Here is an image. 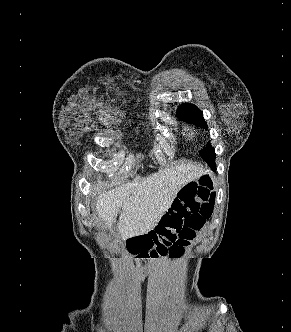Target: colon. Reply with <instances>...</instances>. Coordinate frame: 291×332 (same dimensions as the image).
Instances as JSON below:
<instances>
[{
  "label": "colon",
  "instance_id": "5ec220e1",
  "mask_svg": "<svg viewBox=\"0 0 291 332\" xmlns=\"http://www.w3.org/2000/svg\"><path fill=\"white\" fill-rule=\"evenodd\" d=\"M214 203L215 196L204 188L180 191L172 208L153 230L127 241L131 251L141 258L183 255L211 218Z\"/></svg>",
  "mask_w": 291,
  "mask_h": 332
}]
</instances>
